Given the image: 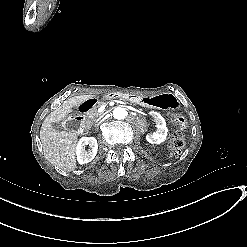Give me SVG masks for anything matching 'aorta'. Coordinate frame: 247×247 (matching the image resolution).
I'll return each mask as SVG.
<instances>
[{
    "mask_svg": "<svg viewBox=\"0 0 247 247\" xmlns=\"http://www.w3.org/2000/svg\"><path fill=\"white\" fill-rule=\"evenodd\" d=\"M112 116L118 120L124 119L127 116V112L122 107H116L112 112Z\"/></svg>",
    "mask_w": 247,
    "mask_h": 247,
    "instance_id": "1",
    "label": "aorta"
}]
</instances>
